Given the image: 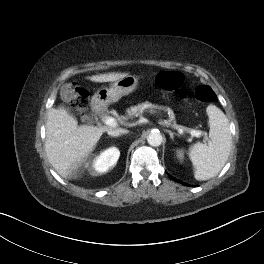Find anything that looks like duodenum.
Listing matches in <instances>:
<instances>
[{"label": "duodenum", "instance_id": "1", "mask_svg": "<svg viewBox=\"0 0 264 264\" xmlns=\"http://www.w3.org/2000/svg\"><path fill=\"white\" fill-rule=\"evenodd\" d=\"M94 112L98 113V108L95 107L94 108Z\"/></svg>", "mask_w": 264, "mask_h": 264}]
</instances>
